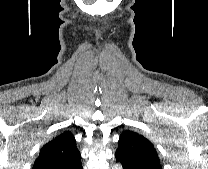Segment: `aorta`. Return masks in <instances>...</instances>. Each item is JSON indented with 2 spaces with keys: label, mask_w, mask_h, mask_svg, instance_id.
Returning <instances> with one entry per match:
<instances>
[{
  "label": "aorta",
  "mask_w": 208,
  "mask_h": 169,
  "mask_svg": "<svg viewBox=\"0 0 208 169\" xmlns=\"http://www.w3.org/2000/svg\"><path fill=\"white\" fill-rule=\"evenodd\" d=\"M114 169H122V167L120 165H115Z\"/></svg>",
  "instance_id": "aorta-1"
}]
</instances>
